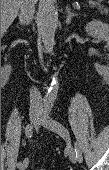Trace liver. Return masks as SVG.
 I'll return each instance as SVG.
<instances>
[{
	"mask_svg": "<svg viewBox=\"0 0 109 170\" xmlns=\"http://www.w3.org/2000/svg\"><path fill=\"white\" fill-rule=\"evenodd\" d=\"M21 0H1V32L4 33L18 15ZM38 0H34L36 3Z\"/></svg>",
	"mask_w": 109,
	"mask_h": 170,
	"instance_id": "6515ba94",
	"label": "liver"
}]
</instances>
